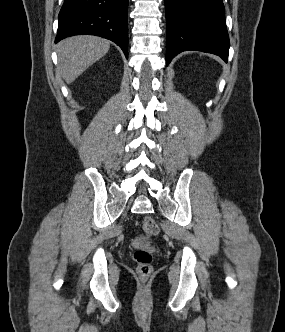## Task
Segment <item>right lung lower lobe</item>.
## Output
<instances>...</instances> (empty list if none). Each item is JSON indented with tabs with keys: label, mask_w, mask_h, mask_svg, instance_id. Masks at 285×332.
Instances as JSON below:
<instances>
[{
	"label": "right lung lower lobe",
	"mask_w": 285,
	"mask_h": 332,
	"mask_svg": "<svg viewBox=\"0 0 285 332\" xmlns=\"http://www.w3.org/2000/svg\"><path fill=\"white\" fill-rule=\"evenodd\" d=\"M128 0H65L55 42L80 34L112 40L128 57Z\"/></svg>",
	"instance_id": "right-lung-lower-lobe-1"
}]
</instances>
